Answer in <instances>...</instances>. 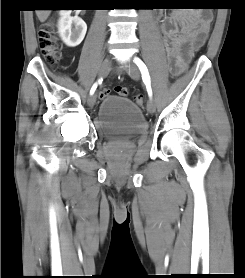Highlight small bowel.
<instances>
[{
  "label": "small bowel",
  "mask_w": 245,
  "mask_h": 278,
  "mask_svg": "<svg viewBox=\"0 0 245 278\" xmlns=\"http://www.w3.org/2000/svg\"><path fill=\"white\" fill-rule=\"evenodd\" d=\"M204 16L200 11L174 12L161 22L160 31L170 67L183 71L193 53L205 43L209 28L202 27Z\"/></svg>",
  "instance_id": "small-bowel-1"
}]
</instances>
